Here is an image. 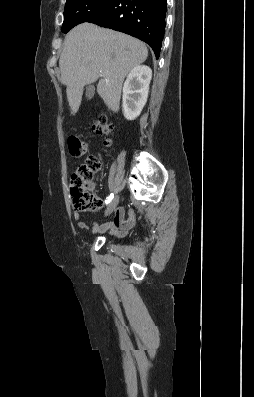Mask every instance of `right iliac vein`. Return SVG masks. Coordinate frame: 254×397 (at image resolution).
<instances>
[{"mask_svg": "<svg viewBox=\"0 0 254 397\" xmlns=\"http://www.w3.org/2000/svg\"><path fill=\"white\" fill-rule=\"evenodd\" d=\"M119 202V197L116 196L108 205L105 215H109L113 212V210L116 208V206L118 205Z\"/></svg>", "mask_w": 254, "mask_h": 397, "instance_id": "right-iliac-vein-1", "label": "right iliac vein"}]
</instances>
